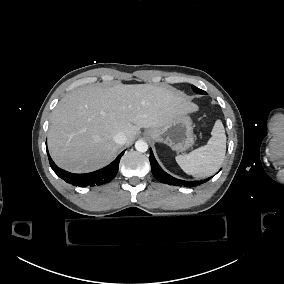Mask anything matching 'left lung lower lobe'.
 Wrapping results in <instances>:
<instances>
[{"label": "left lung lower lobe", "instance_id": "obj_1", "mask_svg": "<svg viewBox=\"0 0 284 284\" xmlns=\"http://www.w3.org/2000/svg\"><path fill=\"white\" fill-rule=\"evenodd\" d=\"M150 164H151V171L154 175V177L162 182V183H167L169 185H178V186H184V187H194L199 184H202L206 181H208L210 178L201 180V181H184V180H179L171 175L167 174L157 163L152 150H150Z\"/></svg>", "mask_w": 284, "mask_h": 284}]
</instances>
